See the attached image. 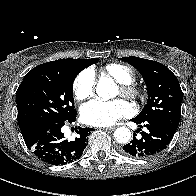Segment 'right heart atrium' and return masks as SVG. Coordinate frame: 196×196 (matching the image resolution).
Wrapping results in <instances>:
<instances>
[{"label": "right heart atrium", "instance_id": "obj_1", "mask_svg": "<svg viewBox=\"0 0 196 196\" xmlns=\"http://www.w3.org/2000/svg\"><path fill=\"white\" fill-rule=\"evenodd\" d=\"M95 75L91 69L80 72L74 80L73 92L78 100H84L93 95Z\"/></svg>", "mask_w": 196, "mask_h": 196}]
</instances>
